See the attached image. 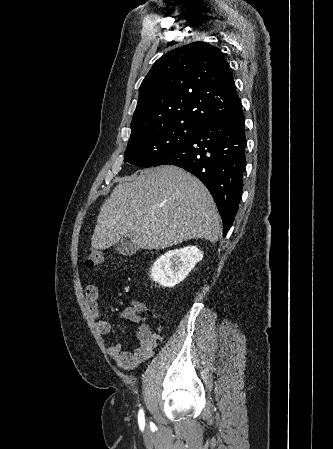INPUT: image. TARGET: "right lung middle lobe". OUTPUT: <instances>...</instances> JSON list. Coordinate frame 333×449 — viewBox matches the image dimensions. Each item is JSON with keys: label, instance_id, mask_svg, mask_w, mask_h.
<instances>
[{"label": "right lung middle lobe", "instance_id": "right-lung-middle-lobe-1", "mask_svg": "<svg viewBox=\"0 0 333 449\" xmlns=\"http://www.w3.org/2000/svg\"><path fill=\"white\" fill-rule=\"evenodd\" d=\"M201 124L173 122L130 138L124 162L151 167L191 138Z\"/></svg>", "mask_w": 333, "mask_h": 449}]
</instances>
